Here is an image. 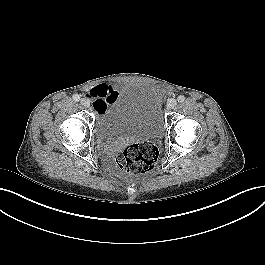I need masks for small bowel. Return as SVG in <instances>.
<instances>
[{
    "instance_id": "c3829d8e",
    "label": "small bowel",
    "mask_w": 265,
    "mask_h": 265,
    "mask_svg": "<svg viewBox=\"0 0 265 265\" xmlns=\"http://www.w3.org/2000/svg\"><path fill=\"white\" fill-rule=\"evenodd\" d=\"M86 94L93 100L94 109L101 113L118 95V87L111 83L100 84L88 89Z\"/></svg>"
}]
</instances>
